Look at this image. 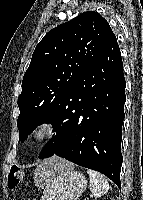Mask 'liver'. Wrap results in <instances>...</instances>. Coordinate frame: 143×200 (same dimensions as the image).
Wrapping results in <instances>:
<instances>
[{"label":"liver","instance_id":"1","mask_svg":"<svg viewBox=\"0 0 143 200\" xmlns=\"http://www.w3.org/2000/svg\"><path fill=\"white\" fill-rule=\"evenodd\" d=\"M65 167H72V164L68 161L53 156L44 160L34 172V183L38 188H44L49 181V178L53 176L57 171Z\"/></svg>","mask_w":143,"mask_h":200}]
</instances>
